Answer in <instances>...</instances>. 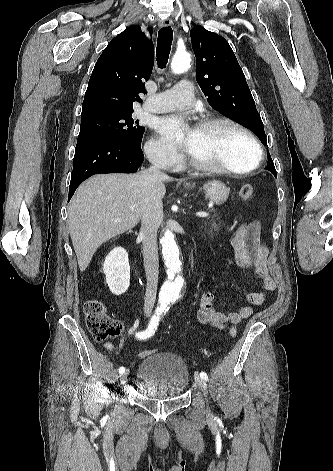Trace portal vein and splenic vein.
<instances>
[{
  "mask_svg": "<svg viewBox=\"0 0 333 471\" xmlns=\"http://www.w3.org/2000/svg\"><path fill=\"white\" fill-rule=\"evenodd\" d=\"M196 216L200 217V218H207L209 216V213H207V212H197ZM115 222H117V220H115Z\"/></svg>",
  "mask_w": 333,
  "mask_h": 471,
  "instance_id": "1",
  "label": "portal vein and splenic vein"
}]
</instances>
